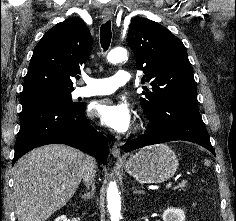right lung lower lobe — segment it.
Returning a JSON list of instances; mask_svg holds the SVG:
<instances>
[{
	"mask_svg": "<svg viewBox=\"0 0 236 221\" xmlns=\"http://www.w3.org/2000/svg\"><path fill=\"white\" fill-rule=\"evenodd\" d=\"M84 106L39 103L23 107L12 164L36 147L55 143L78 148L106 164L107 140L88 123Z\"/></svg>",
	"mask_w": 236,
	"mask_h": 221,
	"instance_id": "right-lung-lower-lobe-1",
	"label": "right lung lower lobe"
}]
</instances>
